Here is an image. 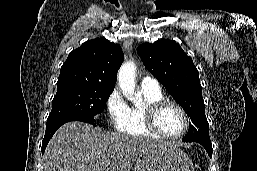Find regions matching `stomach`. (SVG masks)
<instances>
[{
	"label": "stomach",
	"mask_w": 257,
	"mask_h": 171,
	"mask_svg": "<svg viewBox=\"0 0 257 171\" xmlns=\"http://www.w3.org/2000/svg\"><path fill=\"white\" fill-rule=\"evenodd\" d=\"M134 171H194L192 160L177 146L159 144L137 157Z\"/></svg>",
	"instance_id": "0dacf381"
}]
</instances>
